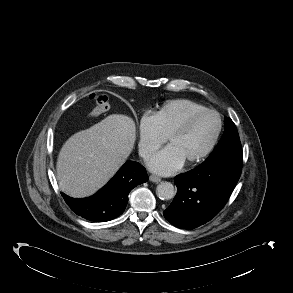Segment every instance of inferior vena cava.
Returning <instances> with one entry per match:
<instances>
[{
	"instance_id": "1",
	"label": "inferior vena cava",
	"mask_w": 293,
	"mask_h": 293,
	"mask_svg": "<svg viewBox=\"0 0 293 293\" xmlns=\"http://www.w3.org/2000/svg\"><path fill=\"white\" fill-rule=\"evenodd\" d=\"M141 156L147 160L149 158L150 154L148 152H142Z\"/></svg>"
}]
</instances>
